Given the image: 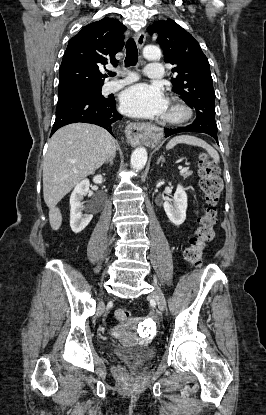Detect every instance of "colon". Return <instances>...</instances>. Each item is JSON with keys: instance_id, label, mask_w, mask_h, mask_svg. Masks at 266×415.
I'll return each mask as SVG.
<instances>
[{"instance_id": "obj_1", "label": "colon", "mask_w": 266, "mask_h": 415, "mask_svg": "<svg viewBox=\"0 0 266 415\" xmlns=\"http://www.w3.org/2000/svg\"><path fill=\"white\" fill-rule=\"evenodd\" d=\"M200 188L204 194L205 210L199 218V225L195 234L190 238L189 245L185 249V259L193 266L202 264L203 250L215 235L214 226L217 221L216 206L223 189V183L219 170L208 154H202L199 160ZM118 320L125 321L131 317L126 308H118L115 311Z\"/></svg>"}]
</instances>
